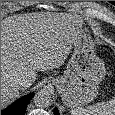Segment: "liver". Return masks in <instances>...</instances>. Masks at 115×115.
Instances as JSON below:
<instances>
[{
  "label": "liver",
  "mask_w": 115,
  "mask_h": 115,
  "mask_svg": "<svg viewBox=\"0 0 115 115\" xmlns=\"http://www.w3.org/2000/svg\"><path fill=\"white\" fill-rule=\"evenodd\" d=\"M80 28L76 21L48 13L20 14L1 21V109L19 96L15 80L24 79L30 87L38 71L64 63Z\"/></svg>",
  "instance_id": "1"
}]
</instances>
